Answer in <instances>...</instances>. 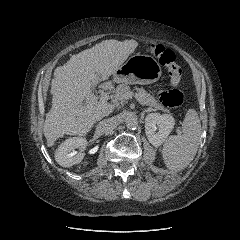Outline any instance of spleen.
<instances>
[{
    "instance_id": "3e777b00",
    "label": "spleen",
    "mask_w": 240,
    "mask_h": 240,
    "mask_svg": "<svg viewBox=\"0 0 240 240\" xmlns=\"http://www.w3.org/2000/svg\"><path fill=\"white\" fill-rule=\"evenodd\" d=\"M182 128L183 134L170 136L162 149L164 162L173 171L186 168L199 148L201 123L194 109L187 111Z\"/></svg>"
}]
</instances>
